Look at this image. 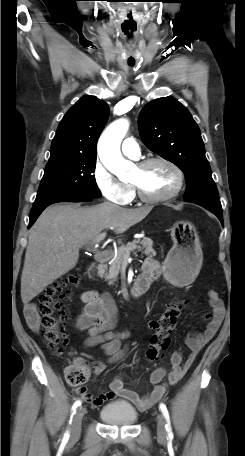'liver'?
Returning a JSON list of instances; mask_svg holds the SVG:
<instances>
[{
  "mask_svg": "<svg viewBox=\"0 0 245 456\" xmlns=\"http://www.w3.org/2000/svg\"><path fill=\"white\" fill-rule=\"evenodd\" d=\"M151 206L123 208L110 202L92 207L55 204L48 207L30 230L21 275V298L27 304L48 285L74 268L79 249L103 229L121 234L142 221Z\"/></svg>",
  "mask_w": 245,
  "mask_h": 456,
  "instance_id": "obj_1",
  "label": "liver"
}]
</instances>
